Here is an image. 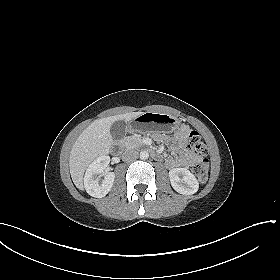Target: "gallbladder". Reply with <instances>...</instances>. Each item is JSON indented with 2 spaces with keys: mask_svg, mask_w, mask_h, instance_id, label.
Segmentation results:
<instances>
[{
  "mask_svg": "<svg viewBox=\"0 0 280 280\" xmlns=\"http://www.w3.org/2000/svg\"><path fill=\"white\" fill-rule=\"evenodd\" d=\"M127 131V124L123 120L115 121L110 127V133L114 140L122 139Z\"/></svg>",
  "mask_w": 280,
  "mask_h": 280,
  "instance_id": "1",
  "label": "gallbladder"
}]
</instances>
